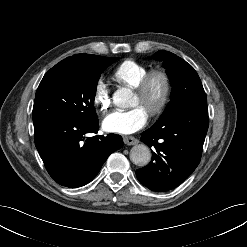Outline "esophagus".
<instances>
[{
	"label": "esophagus",
	"instance_id": "obj_1",
	"mask_svg": "<svg viewBox=\"0 0 247 247\" xmlns=\"http://www.w3.org/2000/svg\"><path fill=\"white\" fill-rule=\"evenodd\" d=\"M123 141L126 145H135L138 143V140L133 136H124Z\"/></svg>",
	"mask_w": 247,
	"mask_h": 247
}]
</instances>
